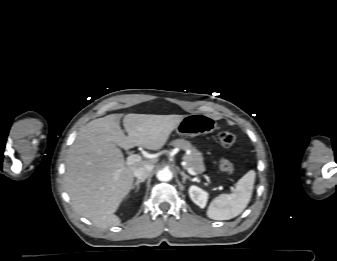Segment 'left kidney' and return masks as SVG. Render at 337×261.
I'll use <instances>...</instances> for the list:
<instances>
[{
  "instance_id": "obj_1",
  "label": "left kidney",
  "mask_w": 337,
  "mask_h": 261,
  "mask_svg": "<svg viewBox=\"0 0 337 261\" xmlns=\"http://www.w3.org/2000/svg\"><path fill=\"white\" fill-rule=\"evenodd\" d=\"M189 196L191 200L197 204L200 208H204L207 204L208 193L197 186H191L189 188Z\"/></svg>"
}]
</instances>
